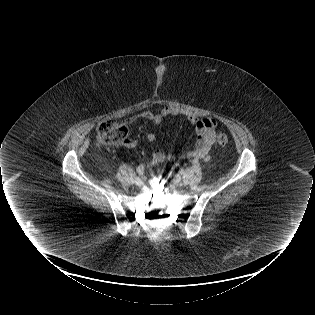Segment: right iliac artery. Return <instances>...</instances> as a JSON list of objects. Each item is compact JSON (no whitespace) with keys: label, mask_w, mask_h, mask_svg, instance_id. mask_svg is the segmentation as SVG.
<instances>
[{"label":"right iliac artery","mask_w":315,"mask_h":315,"mask_svg":"<svg viewBox=\"0 0 315 315\" xmlns=\"http://www.w3.org/2000/svg\"><path fill=\"white\" fill-rule=\"evenodd\" d=\"M137 172L138 174L142 175L144 173V166L143 165H139L137 168Z\"/></svg>","instance_id":"obj_1"}]
</instances>
